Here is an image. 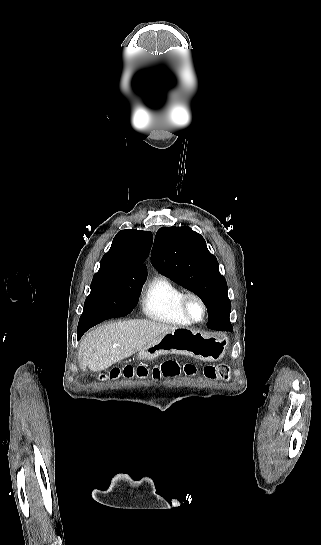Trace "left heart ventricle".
<instances>
[{"mask_svg": "<svg viewBox=\"0 0 321 545\" xmlns=\"http://www.w3.org/2000/svg\"><path fill=\"white\" fill-rule=\"evenodd\" d=\"M190 311L195 318H199L202 314V308L196 300L190 301Z\"/></svg>", "mask_w": 321, "mask_h": 545, "instance_id": "1", "label": "left heart ventricle"}]
</instances>
